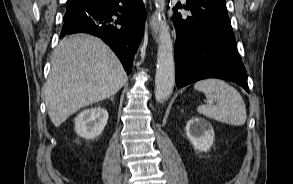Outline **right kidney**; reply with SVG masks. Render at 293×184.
Returning a JSON list of instances; mask_svg holds the SVG:
<instances>
[{
	"instance_id": "right-kidney-1",
	"label": "right kidney",
	"mask_w": 293,
	"mask_h": 184,
	"mask_svg": "<svg viewBox=\"0 0 293 184\" xmlns=\"http://www.w3.org/2000/svg\"><path fill=\"white\" fill-rule=\"evenodd\" d=\"M107 121L108 112L104 108L86 109L75 118V131L80 137L93 140L103 132Z\"/></svg>"
}]
</instances>
